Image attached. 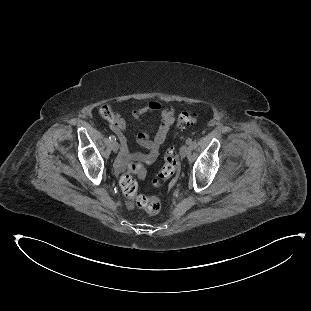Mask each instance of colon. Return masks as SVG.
<instances>
[{"label": "colon", "mask_w": 311, "mask_h": 311, "mask_svg": "<svg viewBox=\"0 0 311 311\" xmlns=\"http://www.w3.org/2000/svg\"><path fill=\"white\" fill-rule=\"evenodd\" d=\"M109 108L106 106L100 107V114L107 116ZM198 116L195 113L181 112L176 121L177 129H183L187 126H193L197 123ZM177 136V135H176ZM179 171V163L176 158L175 146L169 145L163 156V164L158 171L157 178L153 181L155 187H159L164 184L168 179L175 175ZM134 174H138L143 178L146 174L144 166L136 165L126 170L120 179V187L123 194L134 201V203L142 210L149 214H155L161 209V200L158 197L147 196L138 192V182L134 178Z\"/></svg>", "instance_id": "1"}]
</instances>
